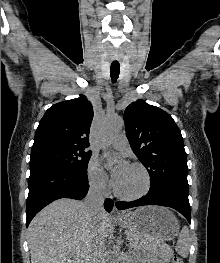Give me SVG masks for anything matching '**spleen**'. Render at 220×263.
<instances>
[{
  "label": "spleen",
  "instance_id": "obj_1",
  "mask_svg": "<svg viewBox=\"0 0 220 263\" xmlns=\"http://www.w3.org/2000/svg\"><path fill=\"white\" fill-rule=\"evenodd\" d=\"M190 247V236L187 227L182 228L175 250L183 257H186Z\"/></svg>",
  "mask_w": 220,
  "mask_h": 263
}]
</instances>
